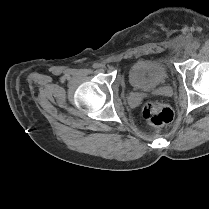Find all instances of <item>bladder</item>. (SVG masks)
<instances>
[{"mask_svg":"<svg viewBox=\"0 0 209 209\" xmlns=\"http://www.w3.org/2000/svg\"><path fill=\"white\" fill-rule=\"evenodd\" d=\"M127 75L133 88L152 92L167 81L168 70L160 59H140L131 65Z\"/></svg>","mask_w":209,"mask_h":209,"instance_id":"1","label":"bladder"}]
</instances>
